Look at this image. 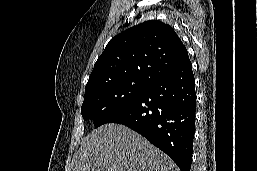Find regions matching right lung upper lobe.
<instances>
[{"mask_svg":"<svg viewBox=\"0 0 257 171\" xmlns=\"http://www.w3.org/2000/svg\"><path fill=\"white\" fill-rule=\"evenodd\" d=\"M190 63L174 29L158 20L140 23L110 40L98 58L85 92L116 83H145Z\"/></svg>","mask_w":257,"mask_h":171,"instance_id":"1","label":"right lung upper lobe"}]
</instances>
